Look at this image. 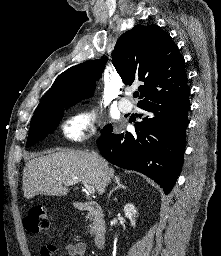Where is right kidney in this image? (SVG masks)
<instances>
[{
    "mask_svg": "<svg viewBox=\"0 0 221 256\" xmlns=\"http://www.w3.org/2000/svg\"><path fill=\"white\" fill-rule=\"evenodd\" d=\"M124 213L125 217L130 219L131 226L135 227L136 221H135V214L137 213L135 207L133 204L128 203L124 206Z\"/></svg>",
    "mask_w": 221,
    "mask_h": 256,
    "instance_id": "ca27d5eb",
    "label": "right kidney"
}]
</instances>
